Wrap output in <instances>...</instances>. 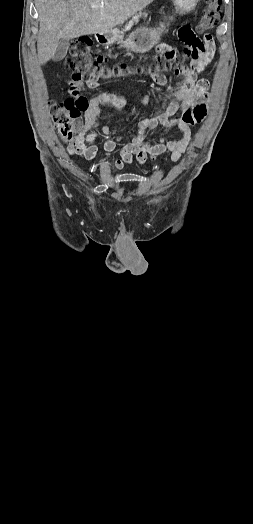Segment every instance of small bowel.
I'll use <instances>...</instances> for the list:
<instances>
[{"instance_id": "obj_1", "label": "small bowel", "mask_w": 253, "mask_h": 524, "mask_svg": "<svg viewBox=\"0 0 253 524\" xmlns=\"http://www.w3.org/2000/svg\"><path fill=\"white\" fill-rule=\"evenodd\" d=\"M176 37L180 44H183L181 54L185 57L190 66L183 64L175 65L177 62L176 51L165 43L157 46L160 64L166 66L168 74H177L179 79L176 86H171L172 78L165 76L159 67H154L148 71L149 79L154 86L163 88L158 98L162 102V109L154 116L143 118L138 123L136 135L131 140H126L117 135L115 131L107 125L99 126L97 121L101 114V107L104 105L115 109H122L127 105L148 104L152 96L146 94L136 101H129L124 97L102 92L93 97L89 102V107L85 113V125L81 133L70 142L67 147L69 155H78L89 161H95L97 147L93 144L97 135L99 141L104 142V154L110 156L119 143H123L120 151V159L115 160L116 168H122L124 164H130L135 157L138 164H143L148 156H157L165 151L172 152V159L177 160L186 150L191 136V125L189 121L190 111L194 106L202 105L208 98V82L205 79H198V74L209 64L216 46L210 34L200 35L190 24H181L176 32ZM172 96L173 100L167 101L166 97ZM180 112L177 118L175 114ZM158 126L166 129L175 128L179 136L166 139L160 137L155 142L145 139L148 130H153Z\"/></svg>"}]
</instances>
